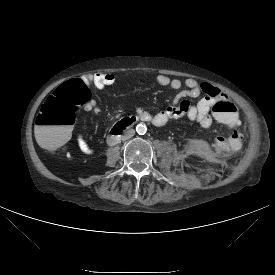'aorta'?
<instances>
[{"mask_svg": "<svg viewBox=\"0 0 275 275\" xmlns=\"http://www.w3.org/2000/svg\"><path fill=\"white\" fill-rule=\"evenodd\" d=\"M147 131V127L146 125L144 124H138L137 127H136V132L139 134V135H144Z\"/></svg>", "mask_w": 275, "mask_h": 275, "instance_id": "762f6f07", "label": "aorta"}]
</instances>
